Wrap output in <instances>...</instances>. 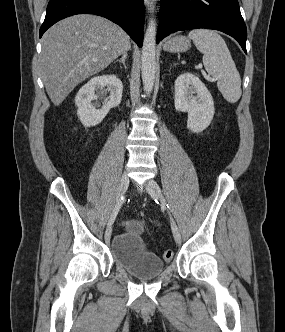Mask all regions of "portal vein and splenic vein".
<instances>
[{"instance_id":"obj_1","label":"portal vein and splenic vein","mask_w":285,"mask_h":332,"mask_svg":"<svg viewBox=\"0 0 285 332\" xmlns=\"http://www.w3.org/2000/svg\"><path fill=\"white\" fill-rule=\"evenodd\" d=\"M198 67H199V68H202V65H201V64H199V65H198Z\"/></svg>"}]
</instances>
